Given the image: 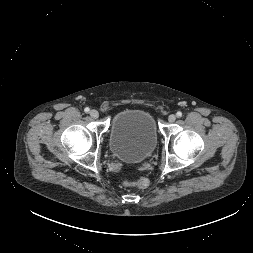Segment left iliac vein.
Returning <instances> with one entry per match:
<instances>
[{
  "label": "left iliac vein",
  "mask_w": 253,
  "mask_h": 253,
  "mask_svg": "<svg viewBox=\"0 0 253 253\" xmlns=\"http://www.w3.org/2000/svg\"><path fill=\"white\" fill-rule=\"evenodd\" d=\"M175 120H176V115H174V114L169 115L168 121H169L170 123L175 122Z\"/></svg>",
  "instance_id": "1"
}]
</instances>
